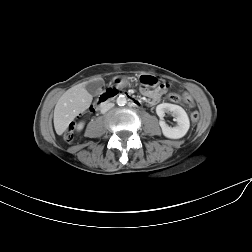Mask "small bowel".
<instances>
[{
    "label": "small bowel",
    "instance_id": "c3829d8e",
    "mask_svg": "<svg viewBox=\"0 0 252 252\" xmlns=\"http://www.w3.org/2000/svg\"><path fill=\"white\" fill-rule=\"evenodd\" d=\"M168 86L163 85L157 90L143 89L144 94L150 99V104L155 105L160 101L162 93L167 92Z\"/></svg>",
    "mask_w": 252,
    "mask_h": 252
}]
</instances>
